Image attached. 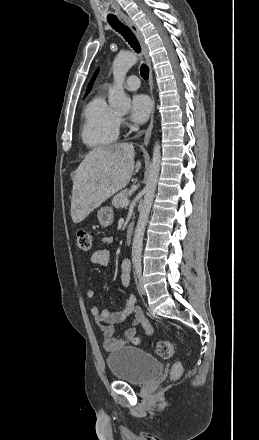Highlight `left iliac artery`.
<instances>
[{"label": "left iliac artery", "instance_id": "1", "mask_svg": "<svg viewBox=\"0 0 259 440\" xmlns=\"http://www.w3.org/2000/svg\"><path fill=\"white\" fill-rule=\"evenodd\" d=\"M141 270H142V268H141V264H136V265H135V271H136V275H137V277H140V275H141Z\"/></svg>", "mask_w": 259, "mask_h": 440}]
</instances>
